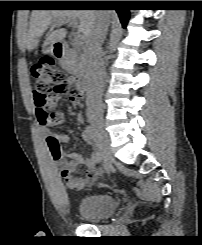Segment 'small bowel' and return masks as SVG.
<instances>
[{"label": "small bowel", "instance_id": "obj_1", "mask_svg": "<svg viewBox=\"0 0 202 245\" xmlns=\"http://www.w3.org/2000/svg\"><path fill=\"white\" fill-rule=\"evenodd\" d=\"M77 102L81 103L82 98L78 97ZM53 118L54 121L52 124L48 125L42 123V132L48 146L55 139L58 140L59 143L69 142L68 134L54 133L50 130V126L61 124L64 121L63 113L54 112ZM78 118H81L80 114H78ZM82 137L86 143L92 142V139L89 137L85 129L82 131ZM52 160L64 179L66 186L72 190H81L91 187L101 174V167L96 164L97 160L95 154L83 156L77 152H65L61 149L59 156H54L52 154ZM80 164L87 167V172L84 176L75 177L73 176V173Z\"/></svg>", "mask_w": 202, "mask_h": 245}]
</instances>
